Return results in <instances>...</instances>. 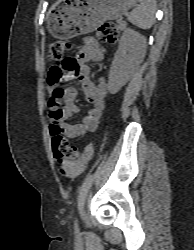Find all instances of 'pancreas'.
<instances>
[{
	"label": "pancreas",
	"mask_w": 194,
	"mask_h": 250,
	"mask_svg": "<svg viewBox=\"0 0 194 250\" xmlns=\"http://www.w3.org/2000/svg\"><path fill=\"white\" fill-rule=\"evenodd\" d=\"M117 24H118L117 29H119V30H124L126 28V23L123 22L122 20H118Z\"/></svg>",
	"instance_id": "obj_1"
}]
</instances>
